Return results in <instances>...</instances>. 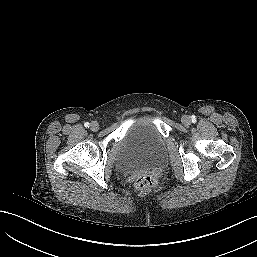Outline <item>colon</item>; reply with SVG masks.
<instances>
[{
	"instance_id": "obj_1",
	"label": "colon",
	"mask_w": 257,
	"mask_h": 257,
	"mask_svg": "<svg viewBox=\"0 0 257 257\" xmlns=\"http://www.w3.org/2000/svg\"><path fill=\"white\" fill-rule=\"evenodd\" d=\"M155 179L151 176L143 175L137 178L136 188L139 190H149L154 187Z\"/></svg>"
}]
</instances>
